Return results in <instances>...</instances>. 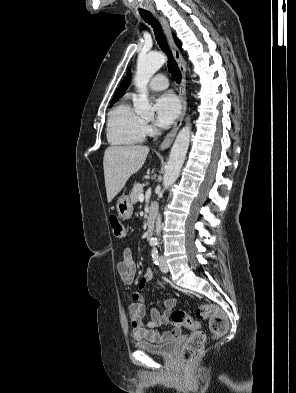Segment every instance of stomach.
<instances>
[{
	"label": "stomach",
	"mask_w": 296,
	"mask_h": 393,
	"mask_svg": "<svg viewBox=\"0 0 296 393\" xmlns=\"http://www.w3.org/2000/svg\"><path fill=\"white\" fill-rule=\"evenodd\" d=\"M118 216L123 220H128L133 214V204L128 196L122 195L116 204Z\"/></svg>",
	"instance_id": "obj_1"
}]
</instances>
